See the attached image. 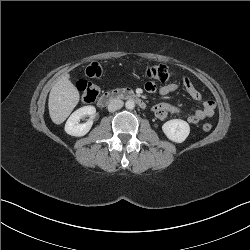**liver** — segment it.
<instances>
[{
  "label": "liver",
  "mask_w": 250,
  "mask_h": 250,
  "mask_svg": "<svg viewBox=\"0 0 250 250\" xmlns=\"http://www.w3.org/2000/svg\"><path fill=\"white\" fill-rule=\"evenodd\" d=\"M69 78V74L62 75L53 85L49 94L50 118L57 125L66 120L80 99L78 90Z\"/></svg>",
  "instance_id": "6515ba94"
}]
</instances>
